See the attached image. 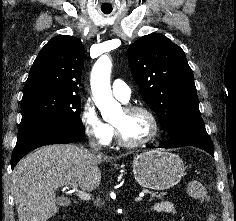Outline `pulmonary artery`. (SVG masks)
Segmentation results:
<instances>
[{
  "label": "pulmonary artery",
  "instance_id": "e3ab8cb5",
  "mask_svg": "<svg viewBox=\"0 0 236 221\" xmlns=\"http://www.w3.org/2000/svg\"><path fill=\"white\" fill-rule=\"evenodd\" d=\"M112 92L115 97L122 102H127L130 99L131 89L129 85L121 79H116L113 81Z\"/></svg>",
  "mask_w": 236,
  "mask_h": 221
}]
</instances>
